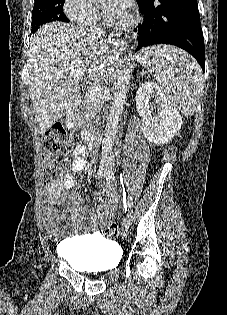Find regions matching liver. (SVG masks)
Masks as SVG:
<instances>
[{
  "label": "liver",
  "mask_w": 227,
  "mask_h": 315,
  "mask_svg": "<svg viewBox=\"0 0 227 315\" xmlns=\"http://www.w3.org/2000/svg\"><path fill=\"white\" fill-rule=\"evenodd\" d=\"M113 53L101 37L70 24L52 22L38 29L30 42L28 69L40 133L74 106L85 72L93 80L110 68ZM75 61L82 63L75 66Z\"/></svg>",
  "instance_id": "1"
}]
</instances>
